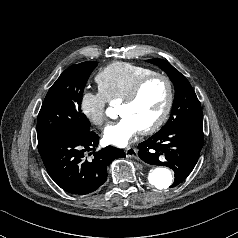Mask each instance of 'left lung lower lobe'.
Listing matches in <instances>:
<instances>
[{"instance_id": "1", "label": "left lung lower lobe", "mask_w": 238, "mask_h": 238, "mask_svg": "<svg viewBox=\"0 0 238 238\" xmlns=\"http://www.w3.org/2000/svg\"><path fill=\"white\" fill-rule=\"evenodd\" d=\"M204 144L203 123H185L158 131L138 145L139 157L152 165H164L174 171L171 187L182 183L194 169Z\"/></svg>"}]
</instances>
